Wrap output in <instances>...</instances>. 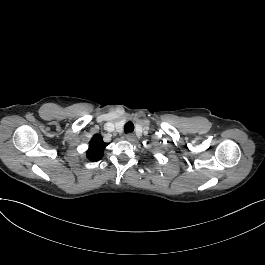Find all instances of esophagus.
<instances>
[{
    "instance_id": "34e87169",
    "label": "esophagus",
    "mask_w": 265,
    "mask_h": 265,
    "mask_svg": "<svg viewBox=\"0 0 265 265\" xmlns=\"http://www.w3.org/2000/svg\"><path fill=\"white\" fill-rule=\"evenodd\" d=\"M126 139H127L128 141H130V142H133V141L136 140V136H135V134H133V133H128V134L126 135Z\"/></svg>"
}]
</instances>
